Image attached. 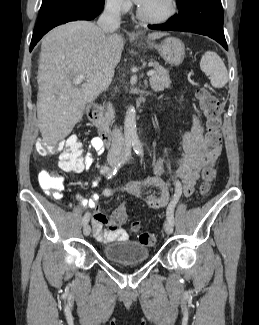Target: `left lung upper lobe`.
Returning a JSON list of instances; mask_svg holds the SVG:
<instances>
[{"label":"left lung upper lobe","instance_id":"5c2ea615","mask_svg":"<svg viewBox=\"0 0 259 325\" xmlns=\"http://www.w3.org/2000/svg\"><path fill=\"white\" fill-rule=\"evenodd\" d=\"M185 0H176L178 5H182Z\"/></svg>","mask_w":259,"mask_h":325}]
</instances>
